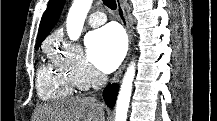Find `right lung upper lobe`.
<instances>
[{
  "label": "right lung upper lobe",
  "instance_id": "cb5924a9",
  "mask_svg": "<svg viewBox=\"0 0 217 121\" xmlns=\"http://www.w3.org/2000/svg\"><path fill=\"white\" fill-rule=\"evenodd\" d=\"M64 0H50L47 6L46 11L43 14V17L40 22L36 49L40 46L42 41L50 33L51 29L56 24L60 12L63 8Z\"/></svg>",
  "mask_w": 217,
  "mask_h": 121
}]
</instances>
